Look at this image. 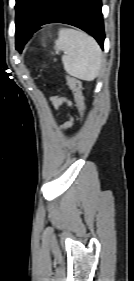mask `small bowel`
<instances>
[{"instance_id": "small-bowel-1", "label": "small bowel", "mask_w": 134, "mask_h": 281, "mask_svg": "<svg viewBox=\"0 0 134 281\" xmlns=\"http://www.w3.org/2000/svg\"><path fill=\"white\" fill-rule=\"evenodd\" d=\"M52 105L56 110H59L62 106H67V107H71V102L69 100H67L65 97L56 95L54 97H52L51 99ZM72 125V119L71 117L68 115V119L67 121L63 124V129H67Z\"/></svg>"}]
</instances>
